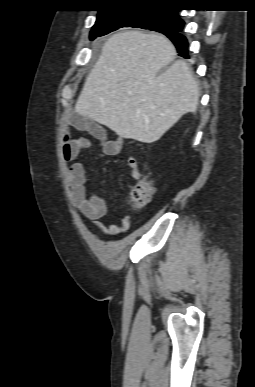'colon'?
<instances>
[{
	"label": "colon",
	"instance_id": "colon-1",
	"mask_svg": "<svg viewBox=\"0 0 255 387\" xmlns=\"http://www.w3.org/2000/svg\"><path fill=\"white\" fill-rule=\"evenodd\" d=\"M154 191L153 179L149 176L143 177L134 185L129 194L128 204L130 209L138 210L146 206L151 201Z\"/></svg>",
	"mask_w": 255,
	"mask_h": 387
}]
</instances>
